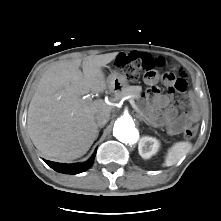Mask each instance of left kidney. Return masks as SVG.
<instances>
[{
    "mask_svg": "<svg viewBox=\"0 0 221 221\" xmlns=\"http://www.w3.org/2000/svg\"><path fill=\"white\" fill-rule=\"evenodd\" d=\"M160 147L159 141L154 137L144 136L141 138L138 146L139 154L144 159H149L156 154Z\"/></svg>",
    "mask_w": 221,
    "mask_h": 221,
    "instance_id": "5707ae66",
    "label": "left kidney"
}]
</instances>
